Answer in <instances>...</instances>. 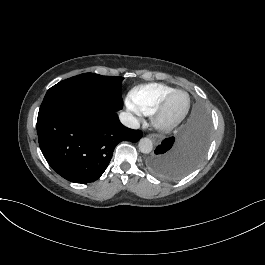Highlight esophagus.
I'll return each instance as SVG.
<instances>
[{
	"label": "esophagus",
	"instance_id": "obj_1",
	"mask_svg": "<svg viewBox=\"0 0 265 265\" xmlns=\"http://www.w3.org/2000/svg\"><path fill=\"white\" fill-rule=\"evenodd\" d=\"M150 137L154 140L156 144H159L162 141V137L160 135H150Z\"/></svg>",
	"mask_w": 265,
	"mask_h": 265
}]
</instances>
